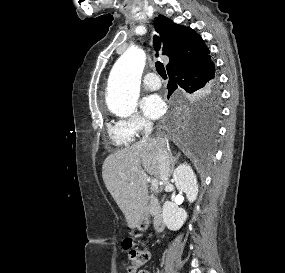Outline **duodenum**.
Returning <instances> with one entry per match:
<instances>
[{
	"instance_id": "duodenum-1",
	"label": "duodenum",
	"mask_w": 285,
	"mask_h": 273,
	"mask_svg": "<svg viewBox=\"0 0 285 273\" xmlns=\"http://www.w3.org/2000/svg\"><path fill=\"white\" fill-rule=\"evenodd\" d=\"M147 217L153 218V228L155 232L161 233L165 228V222L161 213V206L159 201L154 196H148L145 199L143 207V216L139 222L140 226H144Z\"/></svg>"
}]
</instances>
